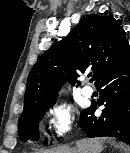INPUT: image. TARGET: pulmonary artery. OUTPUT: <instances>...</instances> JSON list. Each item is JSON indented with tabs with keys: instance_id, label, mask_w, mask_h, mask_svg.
<instances>
[{
	"instance_id": "pulmonary-artery-1",
	"label": "pulmonary artery",
	"mask_w": 130,
	"mask_h": 153,
	"mask_svg": "<svg viewBox=\"0 0 130 153\" xmlns=\"http://www.w3.org/2000/svg\"><path fill=\"white\" fill-rule=\"evenodd\" d=\"M93 89L89 86H85L82 88V94L85 96V97H91L93 95Z\"/></svg>"
}]
</instances>
